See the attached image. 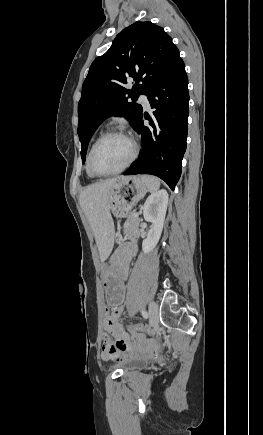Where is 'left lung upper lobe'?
I'll use <instances>...</instances> for the list:
<instances>
[{"mask_svg":"<svg viewBox=\"0 0 263 435\" xmlns=\"http://www.w3.org/2000/svg\"><path fill=\"white\" fill-rule=\"evenodd\" d=\"M179 59L172 38L150 21L135 22L116 36L109 50L93 61L82 86L78 135L83 163L98 125L117 115L125 116L135 128L143 111L136 103L138 96L148 95ZM127 79L135 82L132 90L124 87Z\"/></svg>","mask_w":263,"mask_h":435,"instance_id":"1","label":"left lung upper lobe"}]
</instances>
